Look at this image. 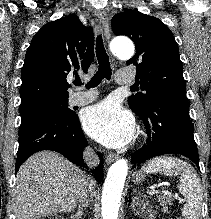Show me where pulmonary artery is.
<instances>
[{
  "label": "pulmonary artery",
  "mask_w": 211,
  "mask_h": 219,
  "mask_svg": "<svg viewBox=\"0 0 211 219\" xmlns=\"http://www.w3.org/2000/svg\"><path fill=\"white\" fill-rule=\"evenodd\" d=\"M116 80L120 84H131L133 83V77L129 71L123 70L118 71L116 74ZM98 93L95 91L91 92H75L69 97L70 105H85L96 99Z\"/></svg>",
  "instance_id": "pulmonary-artery-1"
}]
</instances>
